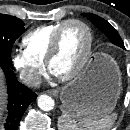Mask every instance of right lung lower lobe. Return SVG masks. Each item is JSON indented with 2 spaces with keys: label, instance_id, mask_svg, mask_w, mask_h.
<instances>
[{
  "label": "right lung lower lobe",
  "instance_id": "obj_1",
  "mask_svg": "<svg viewBox=\"0 0 130 130\" xmlns=\"http://www.w3.org/2000/svg\"><path fill=\"white\" fill-rule=\"evenodd\" d=\"M7 80L8 116L3 130H18L19 122L26 108L36 99V94L18 82L12 68L0 63Z\"/></svg>",
  "mask_w": 130,
  "mask_h": 130
}]
</instances>
